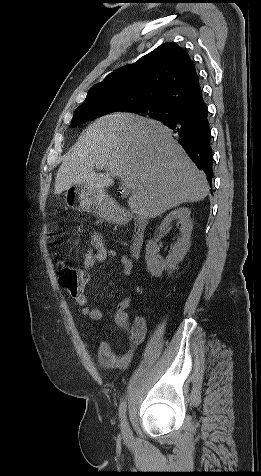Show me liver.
Returning <instances> with one entry per match:
<instances>
[{"label": "liver", "instance_id": "6515ba94", "mask_svg": "<svg viewBox=\"0 0 261 476\" xmlns=\"http://www.w3.org/2000/svg\"><path fill=\"white\" fill-rule=\"evenodd\" d=\"M119 175L135 185L128 199L131 211L148 219L182 203L201 201L209 192L206 175L169 128L138 115L116 113L97 119L82 132L63 157L55 193L78 184L105 192Z\"/></svg>", "mask_w": 261, "mask_h": 476}]
</instances>
